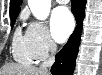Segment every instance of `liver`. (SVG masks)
<instances>
[{
  "mask_svg": "<svg viewBox=\"0 0 102 75\" xmlns=\"http://www.w3.org/2000/svg\"><path fill=\"white\" fill-rule=\"evenodd\" d=\"M0 75H49V73L35 66L10 63L1 67Z\"/></svg>",
  "mask_w": 102,
  "mask_h": 75,
  "instance_id": "1",
  "label": "liver"
}]
</instances>
